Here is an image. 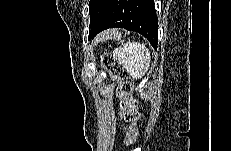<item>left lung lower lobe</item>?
<instances>
[{"instance_id": "left-lung-lower-lobe-1", "label": "left lung lower lobe", "mask_w": 231, "mask_h": 151, "mask_svg": "<svg viewBox=\"0 0 231 151\" xmlns=\"http://www.w3.org/2000/svg\"><path fill=\"white\" fill-rule=\"evenodd\" d=\"M112 27L138 32L157 49L158 18L153 0H110L97 26L89 31V39Z\"/></svg>"}]
</instances>
